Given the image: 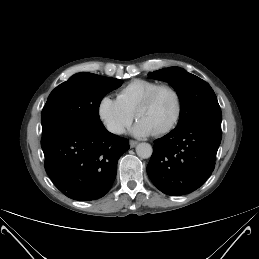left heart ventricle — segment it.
Masks as SVG:
<instances>
[{"mask_svg": "<svg viewBox=\"0 0 259 259\" xmlns=\"http://www.w3.org/2000/svg\"><path fill=\"white\" fill-rule=\"evenodd\" d=\"M176 113V101L173 94L167 90L159 92L154 103L140 117L152 132L166 127Z\"/></svg>", "mask_w": 259, "mask_h": 259, "instance_id": "1", "label": "left heart ventricle"}]
</instances>
